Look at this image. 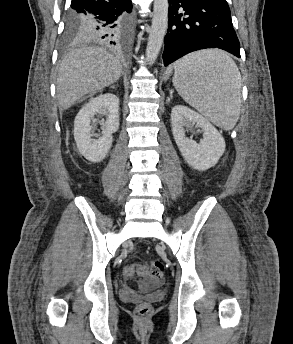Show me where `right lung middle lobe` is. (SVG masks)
<instances>
[{
	"mask_svg": "<svg viewBox=\"0 0 293 344\" xmlns=\"http://www.w3.org/2000/svg\"><path fill=\"white\" fill-rule=\"evenodd\" d=\"M86 17L81 13L70 12L68 16L66 30L64 32L63 41L65 44H71L83 41L81 27Z\"/></svg>",
	"mask_w": 293,
	"mask_h": 344,
	"instance_id": "dd1d6c3e",
	"label": "right lung middle lobe"
}]
</instances>
